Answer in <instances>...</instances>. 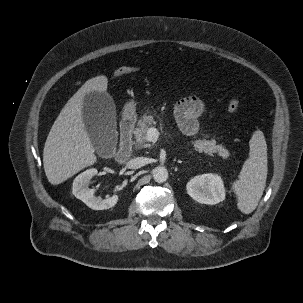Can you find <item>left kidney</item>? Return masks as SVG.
Wrapping results in <instances>:
<instances>
[{
  "label": "left kidney",
  "mask_w": 303,
  "mask_h": 303,
  "mask_svg": "<svg viewBox=\"0 0 303 303\" xmlns=\"http://www.w3.org/2000/svg\"><path fill=\"white\" fill-rule=\"evenodd\" d=\"M187 193L195 201L214 205L225 199V188L218 174H202L192 178L186 185Z\"/></svg>",
  "instance_id": "obj_1"
}]
</instances>
